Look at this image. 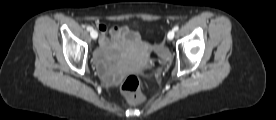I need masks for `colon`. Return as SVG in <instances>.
I'll return each instance as SVG.
<instances>
[{
    "label": "colon",
    "instance_id": "colon-1",
    "mask_svg": "<svg viewBox=\"0 0 276 120\" xmlns=\"http://www.w3.org/2000/svg\"><path fill=\"white\" fill-rule=\"evenodd\" d=\"M140 82L137 76L129 75L122 83L121 90L134 104H141L145 98L139 92Z\"/></svg>",
    "mask_w": 276,
    "mask_h": 120
}]
</instances>
